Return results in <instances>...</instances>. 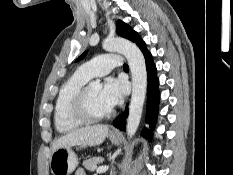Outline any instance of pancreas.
I'll return each mask as SVG.
<instances>
[{
  "instance_id": "pancreas-1",
  "label": "pancreas",
  "mask_w": 233,
  "mask_h": 175,
  "mask_svg": "<svg viewBox=\"0 0 233 175\" xmlns=\"http://www.w3.org/2000/svg\"><path fill=\"white\" fill-rule=\"evenodd\" d=\"M103 158L102 157H92L89 158L88 160L83 161V166L90 171H94L97 169V164L102 162Z\"/></svg>"
}]
</instances>
